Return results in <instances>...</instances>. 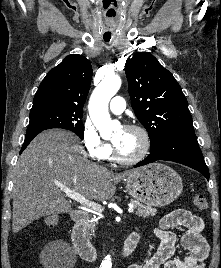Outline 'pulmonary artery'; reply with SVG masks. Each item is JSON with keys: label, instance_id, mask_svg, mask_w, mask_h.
Segmentation results:
<instances>
[{"label": "pulmonary artery", "instance_id": "pulmonary-artery-1", "mask_svg": "<svg viewBox=\"0 0 221 268\" xmlns=\"http://www.w3.org/2000/svg\"><path fill=\"white\" fill-rule=\"evenodd\" d=\"M110 110L114 114H121L125 110V100L120 97H114L110 102Z\"/></svg>", "mask_w": 221, "mask_h": 268}]
</instances>
